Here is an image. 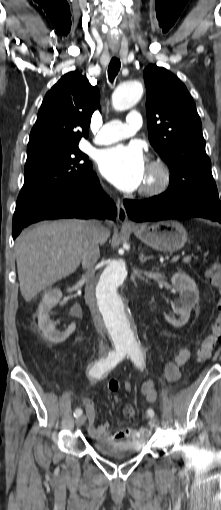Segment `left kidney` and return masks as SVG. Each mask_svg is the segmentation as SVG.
I'll use <instances>...</instances> for the list:
<instances>
[{"label": "left kidney", "mask_w": 221, "mask_h": 510, "mask_svg": "<svg viewBox=\"0 0 221 510\" xmlns=\"http://www.w3.org/2000/svg\"><path fill=\"white\" fill-rule=\"evenodd\" d=\"M171 282L172 286L179 291V299L174 302L179 318L172 319L169 315H165V320L178 328L188 322L192 308L199 301V293L195 281L182 271L175 273Z\"/></svg>", "instance_id": "obj_1"}]
</instances>
